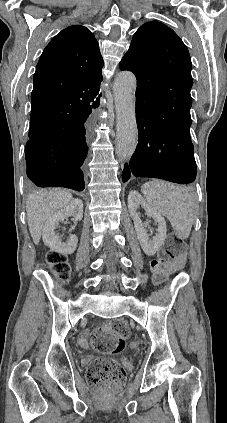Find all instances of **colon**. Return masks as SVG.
Returning a JSON list of instances; mask_svg holds the SVG:
<instances>
[{
  "instance_id": "colon-1",
  "label": "colon",
  "mask_w": 227,
  "mask_h": 423,
  "mask_svg": "<svg viewBox=\"0 0 227 423\" xmlns=\"http://www.w3.org/2000/svg\"><path fill=\"white\" fill-rule=\"evenodd\" d=\"M183 253L181 239L171 233L158 257L151 262L153 278L156 284L166 280L170 264ZM47 263L61 282L69 280L70 266L65 255L49 251ZM127 326L123 322L103 325L97 328L92 336L93 349L101 354H115L124 350ZM87 379L91 386L100 389L104 394L119 390L125 381V371L122 365L109 358L94 359L88 366Z\"/></svg>"
}]
</instances>
